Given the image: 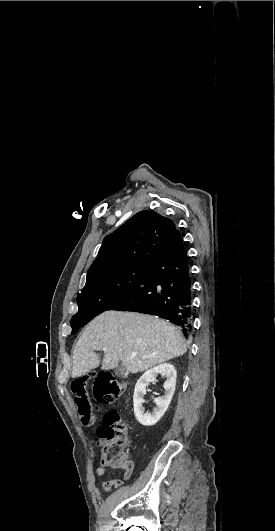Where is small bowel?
<instances>
[{
    "label": "small bowel",
    "instance_id": "1",
    "mask_svg": "<svg viewBox=\"0 0 275 531\" xmlns=\"http://www.w3.org/2000/svg\"><path fill=\"white\" fill-rule=\"evenodd\" d=\"M120 458H122V459H130V457H129V455L127 453H123L120 456ZM109 470L110 469H106V467L103 466V467L98 468L96 473H97L98 476H103V475H106L109 472ZM122 476L123 477H127V479H128V478H130L131 475H122ZM101 488L105 492H110V491H112L114 489H117V488H109L107 483H106V481L101 483Z\"/></svg>",
    "mask_w": 275,
    "mask_h": 531
}]
</instances>
